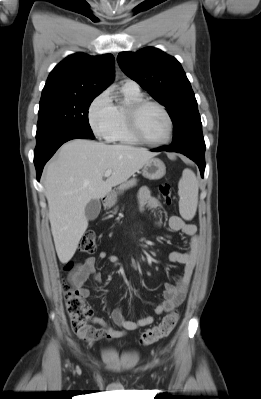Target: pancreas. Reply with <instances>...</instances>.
<instances>
[{"label":"pancreas","instance_id":"1","mask_svg":"<svg viewBox=\"0 0 261 399\" xmlns=\"http://www.w3.org/2000/svg\"><path fill=\"white\" fill-rule=\"evenodd\" d=\"M137 180L136 179H130L129 181L123 183L122 185H120V187L118 188L119 191H124L126 189H129L130 187H133L136 185ZM117 211V208L115 209V212Z\"/></svg>","mask_w":261,"mask_h":399}]
</instances>
